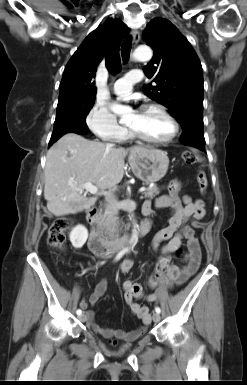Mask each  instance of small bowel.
Returning <instances> with one entry per match:
<instances>
[{
    "mask_svg": "<svg viewBox=\"0 0 247 385\" xmlns=\"http://www.w3.org/2000/svg\"><path fill=\"white\" fill-rule=\"evenodd\" d=\"M180 182H173L169 185L168 195L158 197L154 202L146 201L143 205V213L149 216L154 209L170 208L172 214L166 227L160 229L154 236L152 248L162 255L159 263L168 259L170 267L167 273L159 274L156 272L150 279L148 285L155 287L153 293L146 294L143 288L130 281L124 283V299L131 312L141 320V325L135 330L126 332L120 329L100 326L91 309L101 297L105 294L108 286L107 279H101L96 285L93 293L83 298L80 306L84 309L85 320L89 327L96 333L109 339L112 344L117 340L131 342L141 337L151 324V314L146 305L135 302V298L140 297L147 302H157L159 296L168 288L185 283L198 269L201 261V249L199 241L195 236L194 228L201 227L200 220L205 216V203L201 199H193L185 195L179 196ZM185 239L187 242V253L184 258V264L180 267L171 263L170 255L175 252ZM158 263V264H159ZM157 264V265H158ZM133 266L132 260H125L120 265V272L127 273ZM157 268V267H156ZM134 284L138 288V293L134 294L127 286Z\"/></svg>",
    "mask_w": 247,
    "mask_h": 385,
    "instance_id": "obj_1",
    "label": "small bowel"
}]
</instances>
